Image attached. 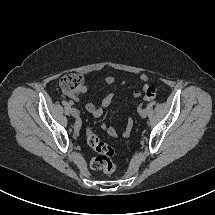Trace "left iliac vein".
Here are the masks:
<instances>
[{
	"mask_svg": "<svg viewBox=\"0 0 215 215\" xmlns=\"http://www.w3.org/2000/svg\"><path fill=\"white\" fill-rule=\"evenodd\" d=\"M140 116L142 118H145L147 116V111L146 110H143V113H140Z\"/></svg>",
	"mask_w": 215,
	"mask_h": 215,
	"instance_id": "obj_1",
	"label": "left iliac vein"
}]
</instances>
